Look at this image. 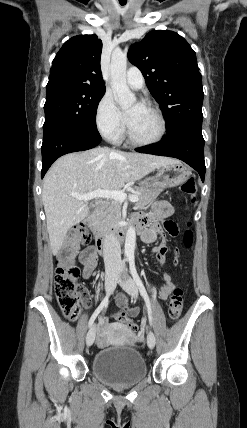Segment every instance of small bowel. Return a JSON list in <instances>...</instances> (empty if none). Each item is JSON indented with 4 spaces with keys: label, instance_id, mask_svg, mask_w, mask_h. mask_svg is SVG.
<instances>
[{
    "label": "small bowel",
    "instance_id": "1",
    "mask_svg": "<svg viewBox=\"0 0 247 428\" xmlns=\"http://www.w3.org/2000/svg\"><path fill=\"white\" fill-rule=\"evenodd\" d=\"M173 208L171 204L167 201H160L154 204L152 212L149 214L141 215L138 218L142 219L145 223V228L143 232L141 233V238L144 242L150 243L154 240L155 235L157 231L159 230V224L158 221L164 222V225L166 229L172 233V230L169 229L168 225L170 222L168 221V218L172 215ZM168 250V247L166 243H161L160 245L153 248L152 253L154 257L157 259L159 263L165 264L166 263V252ZM81 262L83 264V277L85 279H88L91 277L93 270L97 264V252L94 248H87L84 251H82L80 255ZM175 288V284L170 276V274L165 273L163 275V283L159 290V297L162 300H165L168 298V296L172 293V291ZM127 299L125 296H120L118 298V304L120 305L121 309L124 311L125 309H129L126 307ZM135 309V308H134ZM135 324L134 322H132ZM102 328H107V323H102ZM140 334L129 332L127 341L130 343V341H137L140 340ZM97 344L100 347H106L110 344V340L105 338L103 335H99L97 337Z\"/></svg>",
    "mask_w": 247,
    "mask_h": 428
}]
</instances>
